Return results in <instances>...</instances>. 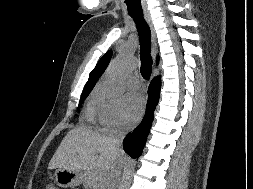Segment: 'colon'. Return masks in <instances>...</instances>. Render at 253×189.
Listing matches in <instances>:
<instances>
[{"label": "colon", "instance_id": "colon-1", "mask_svg": "<svg viewBox=\"0 0 253 189\" xmlns=\"http://www.w3.org/2000/svg\"><path fill=\"white\" fill-rule=\"evenodd\" d=\"M45 189H58V188L55 185H53V184H47L45 186Z\"/></svg>", "mask_w": 253, "mask_h": 189}]
</instances>
